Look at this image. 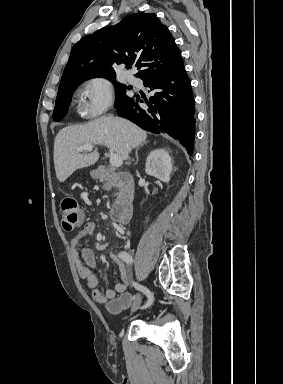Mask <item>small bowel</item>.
Returning <instances> with one entry per match:
<instances>
[{
    "label": "small bowel",
    "instance_id": "obj_1",
    "mask_svg": "<svg viewBox=\"0 0 283 384\" xmlns=\"http://www.w3.org/2000/svg\"><path fill=\"white\" fill-rule=\"evenodd\" d=\"M96 224L86 223L71 239V248L73 258L78 273L85 281L86 289L91 293L92 299L99 304H109L116 299L118 295L124 293L130 284V271L123 261L115 254L111 259L118 265L120 271V282H117L112 288L102 291L98 288V279L92 273V268L96 265V259L93 251L82 247V242L96 231Z\"/></svg>",
    "mask_w": 283,
    "mask_h": 384
}]
</instances>
